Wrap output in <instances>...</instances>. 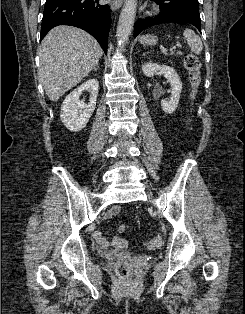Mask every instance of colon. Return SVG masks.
Returning <instances> with one entry per match:
<instances>
[{
    "label": "colon",
    "mask_w": 245,
    "mask_h": 314,
    "mask_svg": "<svg viewBox=\"0 0 245 314\" xmlns=\"http://www.w3.org/2000/svg\"><path fill=\"white\" fill-rule=\"evenodd\" d=\"M185 67L189 72L190 83L192 87L191 99L195 98V94L200 85L201 77H200V62L198 58L190 54L185 58ZM123 229L125 227L123 226ZM147 247L152 249H159L162 245V240L159 237H154L146 242ZM116 271L119 275L124 278H129L131 275L132 267L127 261H119L116 263Z\"/></svg>",
    "instance_id": "5ec220e1"
}]
</instances>
